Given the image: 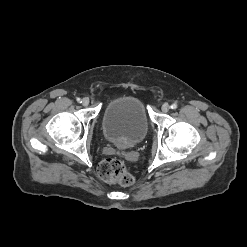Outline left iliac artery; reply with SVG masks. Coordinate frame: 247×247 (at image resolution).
<instances>
[{
  "label": "left iliac artery",
  "mask_w": 247,
  "mask_h": 247,
  "mask_svg": "<svg viewBox=\"0 0 247 247\" xmlns=\"http://www.w3.org/2000/svg\"><path fill=\"white\" fill-rule=\"evenodd\" d=\"M171 109H173V110L177 109V104H176V103H173V104L171 105Z\"/></svg>",
  "instance_id": "1"
}]
</instances>
